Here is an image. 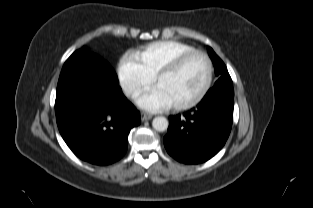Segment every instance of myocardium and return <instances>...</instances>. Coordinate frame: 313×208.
Returning a JSON list of instances; mask_svg holds the SVG:
<instances>
[{
    "mask_svg": "<svg viewBox=\"0 0 313 208\" xmlns=\"http://www.w3.org/2000/svg\"><path fill=\"white\" fill-rule=\"evenodd\" d=\"M195 56H202L206 62H207V78L205 81V84L199 94L193 98L192 100L182 103V104H175L173 105V108L176 110H187L190 108L195 107L198 105L208 94L214 77V67L213 62L209 55L203 51L200 50H193L186 52L177 58H175L171 63H169L167 66L160 69L156 74L154 78V82L157 83L160 79L163 77L170 75L172 73H175L178 71L189 59L195 57Z\"/></svg>",
    "mask_w": 313,
    "mask_h": 208,
    "instance_id": "obj_1",
    "label": "myocardium"
}]
</instances>
